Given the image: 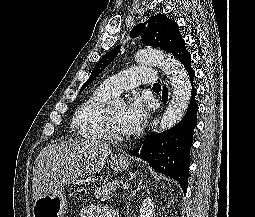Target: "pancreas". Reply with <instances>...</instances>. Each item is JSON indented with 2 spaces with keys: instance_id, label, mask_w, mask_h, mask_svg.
<instances>
[{
  "instance_id": "obj_1",
  "label": "pancreas",
  "mask_w": 255,
  "mask_h": 217,
  "mask_svg": "<svg viewBox=\"0 0 255 217\" xmlns=\"http://www.w3.org/2000/svg\"><path fill=\"white\" fill-rule=\"evenodd\" d=\"M119 184H120L119 180L108 182L107 185H103L102 188H99L95 192V197L102 202L110 199L115 190L118 188Z\"/></svg>"
}]
</instances>
